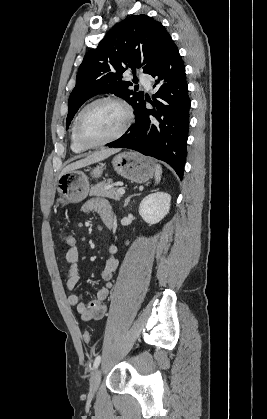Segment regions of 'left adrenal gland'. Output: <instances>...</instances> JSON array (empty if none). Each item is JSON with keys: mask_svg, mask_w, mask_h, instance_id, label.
Here are the masks:
<instances>
[{"mask_svg": "<svg viewBox=\"0 0 267 419\" xmlns=\"http://www.w3.org/2000/svg\"><path fill=\"white\" fill-rule=\"evenodd\" d=\"M136 195H137V194H134V195H131V196L127 197V198L125 199L124 207H126V206L129 204L130 199H131L132 197L136 196Z\"/></svg>", "mask_w": 267, "mask_h": 419, "instance_id": "1", "label": "left adrenal gland"}]
</instances>
